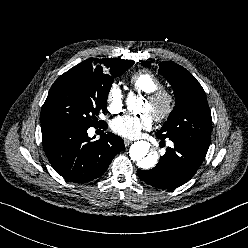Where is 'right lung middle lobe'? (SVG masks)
I'll list each match as a JSON object with an SVG mask.
<instances>
[{"mask_svg": "<svg viewBox=\"0 0 248 248\" xmlns=\"http://www.w3.org/2000/svg\"><path fill=\"white\" fill-rule=\"evenodd\" d=\"M133 61L125 60L113 69L75 66L52 85L41 110V127L49 125L99 126L98 115L106 110L113 79Z\"/></svg>", "mask_w": 248, "mask_h": 248, "instance_id": "1", "label": "right lung middle lobe"}]
</instances>
